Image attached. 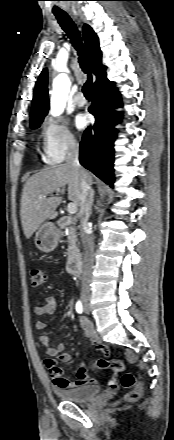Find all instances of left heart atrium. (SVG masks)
<instances>
[{
  "label": "left heart atrium",
  "instance_id": "left-heart-atrium-1",
  "mask_svg": "<svg viewBox=\"0 0 174 440\" xmlns=\"http://www.w3.org/2000/svg\"><path fill=\"white\" fill-rule=\"evenodd\" d=\"M74 123H75V126L79 130H81V129L85 128L86 125L88 124V118L84 114H79L75 117Z\"/></svg>",
  "mask_w": 174,
  "mask_h": 440
}]
</instances>
